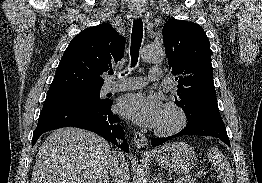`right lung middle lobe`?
<instances>
[{
	"instance_id": "obj_1",
	"label": "right lung middle lobe",
	"mask_w": 262,
	"mask_h": 183,
	"mask_svg": "<svg viewBox=\"0 0 262 183\" xmlns=\"http://www.w3.org/2000/svg\"><path fill=\"white\" fill-rule=\"evenodd\" d=\"M100 88L92 89H75V90H59L47 92L46 99L55 100H78L84 102H105V99H100Z\"/></svg>"
}]
</instances>
